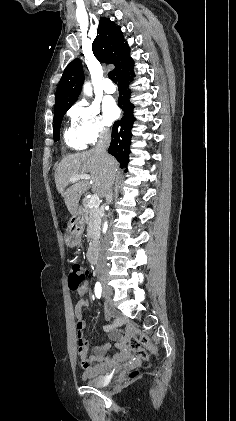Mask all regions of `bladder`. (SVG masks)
I'll list each match as a JSON object with an SVG mask.
<instances>
[{"mask_svg": "<svg viewBox=\"0 0 236 421\" xmlns=\"http://www.w3.org/2000/svg\"><path fill=\"white\" fill-rule=\"evenodd\" d=\"M101 375H97V376H87L84 379L85 384L87 385H95V386H100L101 385Z\"/></svg>", "mask_w": 236, "mask_h": 421, "instance_id": "1", "label": "bladder"}]
</instances>
